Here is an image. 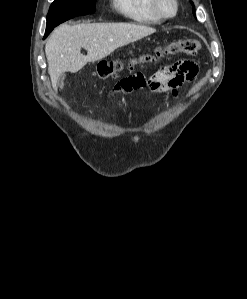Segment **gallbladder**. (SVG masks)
Wrapping results in <instances>:
<instances>
[{
  "instance_id": "obj_1",
  "label": "gallbladder",
  "mask_w": 247,
  "mask_h": 299,
  "mask_svg": "<svg viewBox=\"0 0 247 299\" xmlns=\"http://www.w3.org/2000/svg\"><path fill=\"white\" fill-rule=\"evenodd\" d=\"M65 77H66V75L65 74H61L59 77H58V80H57V86L59 87V88H63V86H64V80H65Z\"/></svg>"
}]
</instances>
